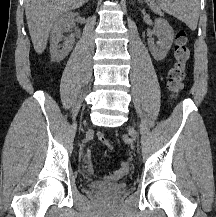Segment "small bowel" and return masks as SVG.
Instances as JSON below:
<instances>
[{
    "label": "small bowel",
    "mask_w": 216,
    "mask_h": 217,
    "mask_svg": "<svg viewBox=\"0 0 216 217\" xmlns=\"http://www.w3.org/2000/svg\"><path fill=\"white\" fill-rule=\"evenodd\" d=\"M85 160H86V166H87L88 171L91 174H94L95 173V167H94V162L92 159V154L90 151H88L86 153ZM117 175H118L117 173L110 174V175L105 177V180L106 181H113L116 179Z\"/></svg>",
    "instance_id": "1"
}]
</instances>
